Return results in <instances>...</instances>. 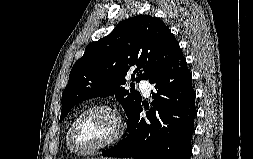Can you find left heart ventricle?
I'll return each instance as SVG.
<instances>
[{"mask_svg":"<svg viewBox=\"0 0 253 159\" xmlns=\"http://www.w3.org/2000/svg\"><path fill=\"white\" fill-rule=\"evenodd\" d=\"M116 132L113 115L105 110L87 113L78 123L74 142L81 150L99 146L111 139Z\"/></svg>","mask_w":253,"mask_h":159,"instance_id":"obj_1","label":"left heart ventricle"}]
</instances>
